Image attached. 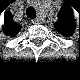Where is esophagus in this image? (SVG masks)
Listing matches in <instances>:
<instances>
[{
  "label": "esophagus",
  "instance_id": "obj_1",
  "mask_svg": "<svg viewBox=\"0 0 80 80\" xmlns=\"http://www.w3.org/2000/svg\"><path fill=\"white\" fill-rule=\"evenodd\" d=\"M32 23H34V24H39V23H41V22H40V20H39L38 18H36V19H33V20H32Z\"/></svg>",
  "mask_w": 80,
  "mask_h": 80
}]
</instances>
